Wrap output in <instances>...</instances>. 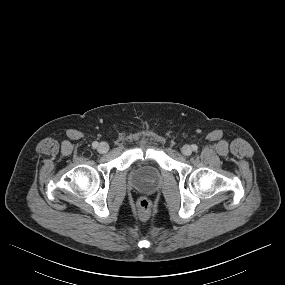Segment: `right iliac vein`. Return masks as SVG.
Returning a JSON list of instances; mask_svg holds the SVG:
<instances>
[{
    "label": "right iliac vein",
    "mask_w": 285,
    "mask_h": 285,
    "mask_svg": "<svg viewBox=\"0 0 285 285\" xmlns=\"http://www.w3.org/2000/svg\"><path fill=\"white\" fill-rule=\"evenodd\" d=\"M109 150V145L106 142H101L98 146L99 153H106Z\"/></svg>",
    "instance_id": "obj_1"
}]
</instances>
